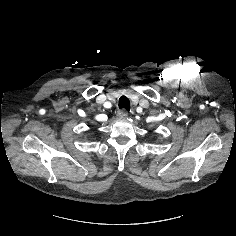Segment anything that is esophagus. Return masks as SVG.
<instances>
[{
	"label": "esophagus",
	"mask_w": 236,
	"mask_h": 236,
	"mask_svg": "<svg viewBox=\"0 0 236 236\" xmlns=\"http://www.w3.org/2000/svg\"><path fill=\"white\" fill-rule=\"evenodd\" d=\"M118 116L120 118H125V117L128 116V111H126L125 109H121V110L118 111Z\"/></svg>",
	"instance_id": "obj_1"
}]
</instances>
